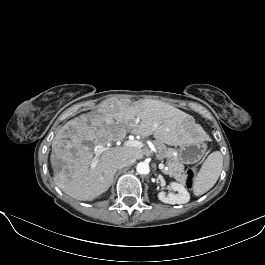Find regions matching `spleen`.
<instances>
[{"mask_svg": "<svg viewBox=\"0 0 265 265\" xmlns=\"http://www.w3.org/2000/svg\"><path fill=\"white\" fill-rule=\"evenodd\" d=\"M223 167L221 152H212L203 163L193 181L194 195L200 196L210 190L217 182Z\"/></svg>", "mask_w": 265, "mask_h": 265, "instance_id": "1", "label": "spleen"}]
</instances>
